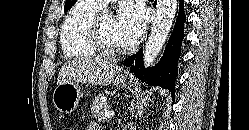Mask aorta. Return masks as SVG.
I'll return each instance as SVG.
<instances>
[{"instance_id": "aorta-1", "label": "aorta", "mask_w": 249, "mask_h": 130, "mask_svg": "<svg viewBox=\"0 0 249 130\" xmlns=\"http://www.w3.org/2000/svg\"><path fill=\"white\" fill-rule=\"evenodd\" d=\"M177 0H158L156 17L144 50V66H151L160 53L173 24Z\"/></svg>"}]
</instances>
